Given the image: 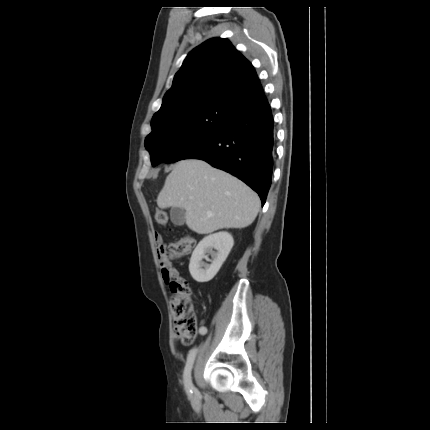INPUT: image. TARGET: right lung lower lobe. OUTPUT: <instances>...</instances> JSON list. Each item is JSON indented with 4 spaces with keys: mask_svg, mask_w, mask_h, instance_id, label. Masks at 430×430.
Instances as JSON below:
<instances>
[{
    "mask_svg": "<svg viewBox=\"0 0 430 430\" xmlns=\"http://www.w3.org/2000/svg\"><path fill=\"white\" fill-rule=\"evenodd\" d=\"M230 110L226 126L184 159H201L238 177L259 194L264 205L271 185L276 134L262 87L248 105Z\"/></svg>",
    "mask_w": 430,
    "mask_h": 430,
    "instance_id": "98d812e1",
    "label": "right lung lower lobe"
}]
</instances>
